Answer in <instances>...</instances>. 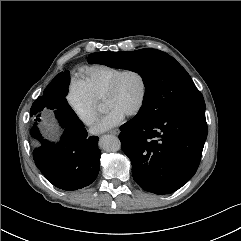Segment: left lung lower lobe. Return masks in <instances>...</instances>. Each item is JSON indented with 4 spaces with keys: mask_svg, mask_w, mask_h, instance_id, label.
Wrapping results in <instances>:
<instances>
[{
    "mask_svg": "<svg viewBox=\"0 0 241 241\" xmlns=\"http://www.w3.org/2000/svg\"><path fill=\"white\" fill-rule=\"evenodd\" d=\"M120 130L121 148L131 160L134 180L145 191L161 195L193 177L208 133L205 109L183 108L158 118L138 113Z\"/></svg>",
    "mask_w": 241,
    "mask_h": 241,
    "instance_id": "left-lung-lower-lobe-1",
    "label": "left lung lower lobe"
}]
</instances>
